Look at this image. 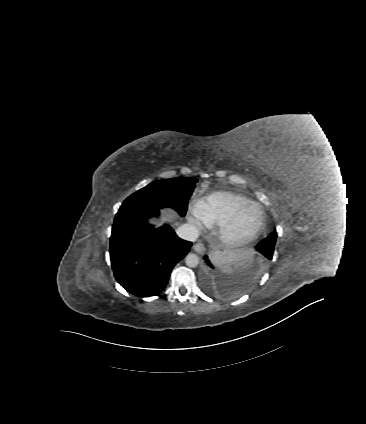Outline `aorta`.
I'll use <instances>...</instances> for the list:
<instances>
[{
    "instance_id": "762f6f07",
    "label": "aorta",
    "mask_w": 366,
    "mask_h": 424,
    "mask_svg": "<svg viewBox=\"0 0 366 424\" xmlns=\"http://www.w3.org/2000/svg\"><path fill=\"white\" fill-rule=\"evenodd\" d=\"M185 263L188 267L194 268L199 264V257L194 253H189L185 258Z\"/></svg>"
}]
</instances>
